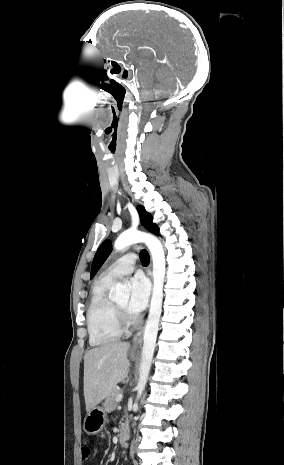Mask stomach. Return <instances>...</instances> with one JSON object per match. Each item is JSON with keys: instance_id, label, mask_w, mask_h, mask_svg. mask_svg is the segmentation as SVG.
Returning a JSON list of instances; mask_svg holds the SVG:
<instances>
[{"instance_id": "1", "label": "stomach", "mask_w": 284, "mask_h": 465, "mask_svg": "<svg viewBox=\"0 0 284 465\" xmlns=\"http://www.w3.org/2000/svg\"><path fill=\"white\" fill-rule=\"evenodd\" d=\"M131 359H138V355L135 353H130ZM106 423V413L102 407H96V409H91L89 413H87L84 423L83 429L87 435H97L102 431L104 425Z\"/></svg>"}]
</instances>
